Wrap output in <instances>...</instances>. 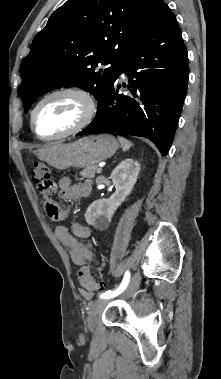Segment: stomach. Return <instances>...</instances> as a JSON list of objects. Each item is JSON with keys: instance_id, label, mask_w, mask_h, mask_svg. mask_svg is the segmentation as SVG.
Instances as JSON below:
<instances>
[{"instance_id": "0dacf381", "label": "stomach", "mask_w": 221, "mask_h": 379, "mask_svg": "<svg viewBox=\"0 0 221 379\" xmlns=\"http://www.w3.org/2000/svg\"><path fill=\"white\" fill-rule=\"evenodd\" d=\"M119 145L108 134L83 137L71 143H54L37 151V156L56 169L96 166L111 157Z\"/></svg>"}]
</instances>
